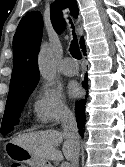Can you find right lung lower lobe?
<instances>
[{"mask_svg": "<svg viewBox=\"0 0 125 167\" xmlns=\"http://www.w3.org/2000/svg\"><path fill=\"white\" fill-rule=\"evenodd\" d=\"M81 48H83V51L85 49L84 43L81 45ZM86 52H84L85 54ZM87 75H85V79L82 82V85L84 88H87ZM85 100L81 99L76 102V107H75V113H76V120H77V125L79 129V133L81 136L84 135V128H85Z\"/></svg>", "mask_w": 125, "mask_h": 167, "instance_id": "98d812e1", "label": "right lung lower lobe"}]
</instances>
